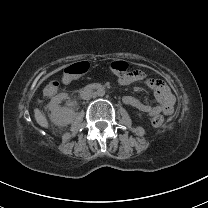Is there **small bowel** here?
Segmentation results:
<instances>
[{"instance_id":"obj_1","label":"small bowel","mask_w":208,"mask_h":208,"mask_svg":"<svg viewBox=\"0 0 208 208\" xmlns=\"http://www.w3.org/2000/svg\"><path fill=\"white\" fill-rule=\"evenodd\" d=\"M143 81L154 91L157 103L151 105L133 96H125L123 99L124 103L149 116H156L158 114L170 115L174 109L175 98L170 88L162 80L147 79L145 72L140 70L130 72L128 75L119 78V82L122 85H130Z\"/></svg>"}]
</instances>
